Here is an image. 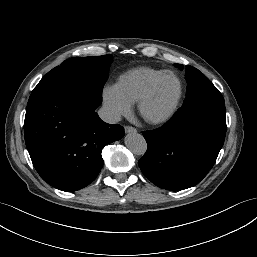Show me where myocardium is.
<instances>
[{"instance_id": "1", "label": "myocardium", "mask_w": 257, "mask_h": 257, "mask_svg": "<svg viewBox=\"0 0 257 257\" xmlns=\"http://www.w3.org/2000/svg\"><path fill=\"white\" fill-rule=\"evenodd\" d=\"M168 75L174 76L179 82V94L177 96V99H176L173 107L170 109V111L168 113H166L164 116L159 117V118H150V117L145 115V112H144L145 105L147 104V102L152 97L158 83L164 77H166ZM184 93H185V86H184V82H183L182 78L177 73H175L174 71L166 70L165 72L158 75L156 78H154L150 82V84L148 85V87L146 88V90L144 91L142 96L140 97V99L137 103L138 112H139L140 117L147 124H150V125H153V126H161V125L167 124L178 113V111H179V109L182 105V101H183V98H184Z\"/></svg>"}]
</instances>
